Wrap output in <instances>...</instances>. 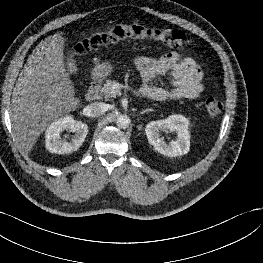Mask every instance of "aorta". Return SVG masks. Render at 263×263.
Wrapping results in <instances>:
<instances>
[{"instance_id": "aorta-1", "label": "aorta", "mask_w": 263, "mask_h": 263, "mask_svg": "<svg viewBox=\"0 0 263 263\" xmlns=\"http://www.w3.org/2000/svg\"><path fill=\"white\" fill-rule=\"evenodd\" d=\"M130 123H131V120H130L128 115H120V116H118V118L116 120L117 126L121 129L128 128Z\"/></svg>"}]
</instances>
